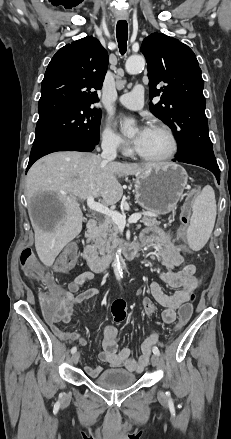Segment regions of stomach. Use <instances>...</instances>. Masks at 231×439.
Here are the masks:
<instances>
[{"label": "stomach", "instance_id": "obj_1", "mask_svg": "<svg viewBox=\"0 0 231 439\" xmlns=\"http://www.w3.org/2000/svg\"><path fill=\"white\" fill-rule=\"evenodd\" d=\"M188 175L175 163H164L136 176L135 200L149 212L165 215L173 211L186 188Z\"/></svg>", "mask_w": 231, "mask_h": 439}]
</instances>
